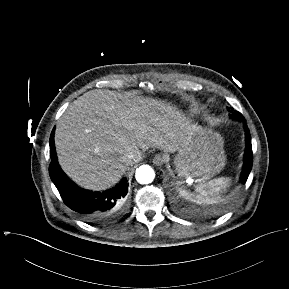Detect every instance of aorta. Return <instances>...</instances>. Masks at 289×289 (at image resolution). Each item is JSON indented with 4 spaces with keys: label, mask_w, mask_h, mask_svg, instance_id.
<instances>
[{
    "label": "aorta",
    "mask_w": 289,
    "mask_h": 289,
    "mask_svg": "<svg viewBox=\"0 0 289 289\" xmlns=\"http://www.w3.org/2000/svg\"><path fill=\"white\" fill-rule=\"evenodd\" d=\"M154 177V170L149 165L140 166L135 173V178L140 184H149Z\"/></svg>",
    "instance_id": "1"
}]
</instances>
